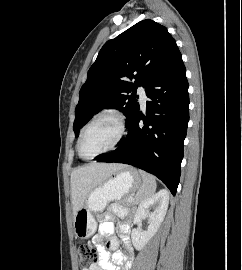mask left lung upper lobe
<instances>
[{
	"label": "left lung upper lobe",
	"instance_id": "left-lung-upper-lobe-1",
	"mask_svg": "<svg viewBox=\"0 0 242 270\" xmlns=\"http://www.w3.org/2000/svg\"><path fill=\"white\" fill-rule=\"evenodd\" d=\"M181 53L166 27L147 19L138 22L100 50L80 90L73 130H79L96 112L114 108L127 118L126 126L139 110L138 86L149 83ZM134 79V83L129 80Z\"/></svg>",
	"mask_w": 242,
	"mask_h": 270
}]
</instances>
